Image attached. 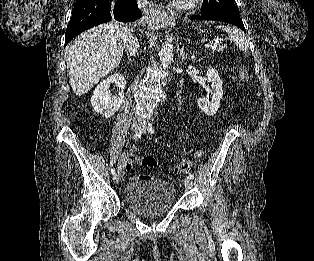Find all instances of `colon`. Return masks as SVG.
Segmentation results:
<instances>
[{
  "mask_svg": "<svg viewBox=\"0 0 314 261\" xmlns=\"http://www.w3.org/2000/svg\"><path fill=\"white\" fill-rule=\"evenodd\" d=\"M239 75L243 81H246L248 79L247 71L243 68L240 69ZM137 162L146 168H154L157 165L156 160L152 156H149V155L138 156ZM191 166H192V163L190 161H183L176 166L175 172L177 174L187 172L191 168ZM144 178H147V177H144Z\"/></svg>",
  "mask_w": 314,
  "mask_h": 261,
  "instance_id": "obj_1",
  "label": "colon"
}]
</instances>
